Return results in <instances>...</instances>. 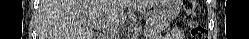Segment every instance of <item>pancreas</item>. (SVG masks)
Returning a JSON list of instances; mask_svg holds the SVG:
<instances>
[{
  "mask_svg": "<svg viewBox=\"0 0 249 39\" xmlns=\"http://www.w3.org/2000/svg\"><path fill=\"white\" fill-rule=\"evenodd\" d=\"M168 26V23L164 20L157 18H149L145 25V33L150 38L159 34Z\"/></svg>",
  "mask_w": 249,
  "mask_h": 39,
  "instance_id": "pancreas-1",
  "label": "pancreas"
}]
</instances>
